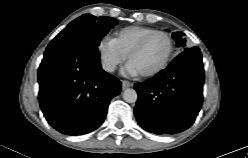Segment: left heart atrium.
<instances>
[{"label": "left heart atrium", "instance_id": "left-heart-atrium-1", "mask_svg": "<svg viewBox=\"0 0 248 158\" xmlns=\"http://www.w3.org/2000/svg\"><path fill=\"white\" fill-rule=\"evenodd\" d=\"M123 75L125 76H136L140 74L139 70L136 68V66L129 61L125 67L122 70Z\"/></svg>", "mask_w": 248, "mask_h": 158}]
</instances>
